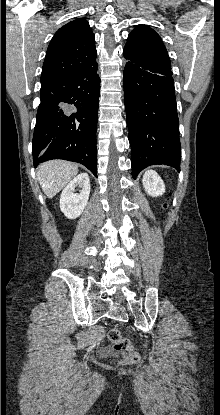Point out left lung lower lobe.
Wrapping results in <instances>:
<instances>
[{
  "instance_id": "0a47b994",
  "label": "left lung lower lobe",
  "mask_w": 220,
  "mask_h": 415,
  "mask_svg": "<svg viewBox=\"0 0 220 415\" xmlns=\"http://www.w3.org/2000/svg\"><path fill=\"white\" fill-rule=\"evenodd\" d=\"M123 82L133 177L154 164L180 171L179 120L171 69L128 61Z\"/></svg>"
}]
</instances>
